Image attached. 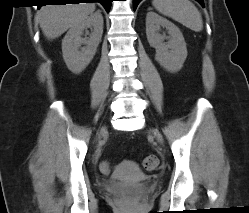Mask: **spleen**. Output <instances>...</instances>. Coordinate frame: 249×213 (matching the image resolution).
<instances>
[{
	"instance_id": "3e777b00",
	"label": "spleen",
	"mask_w": 249,
	"mask_h": 213,
	"mask_svg": "<svg viewBox=\"0 0 249 213\" xmlns=\"http://www.w3.org/2000/svg\"><path fill=\"white\" fill-rule=\"evenodd\" d=\"M152 4L161 14L173 18L195 32L203 29L201 13L189 0H153Z\"/></svg>"
}]
</instances>
